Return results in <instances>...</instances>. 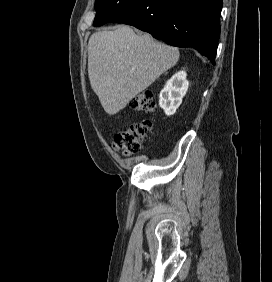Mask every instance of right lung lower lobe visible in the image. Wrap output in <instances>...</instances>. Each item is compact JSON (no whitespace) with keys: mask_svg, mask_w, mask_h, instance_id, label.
I'll list each match as a JSON object with an SVG mask.
<instances>
[{"mask_svg":"<svg viewBox=\"0 0 272 282\" xmlns=\"http://www.w3.org/2000/svg\"><path fill=\"white\" fill-rule=\"evenodd\" d=\"M223 0H136L109 22L124 23L215 63Z\"/></svg>","mask_w":272,"mask_h":282,"instance_id":"98d812e1","label":"right lung lower lobe"}]
</instances>
